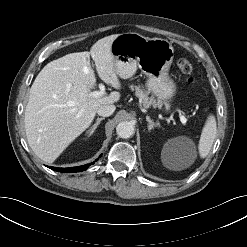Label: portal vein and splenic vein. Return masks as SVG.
I'll list each match as a JSON object with an SVG mask.
<instances>
[{
  "label": "portal vein and splenic vein",
  "instance_id": "18ae733b",
  "mask_svg": "<svg viewBox=\"0 0 247 247\" xmlns=\"http://www.w3.org/2000/svg\"><path fill=\"white\" fill-rule=\"evenodd\" d=\"M99 91H93L90 93V96L92 97H101V96H104L105 94V86L103 84H99ZM179 118H180V121L183 125L186 124L187 122V119L185 118V116H183L181 113H179Z\"/></svg>",
  "mask_w": 247,
  "mask_h": 247
}]
</instances>
